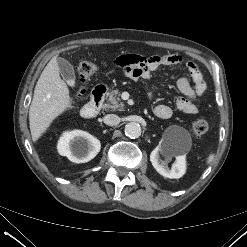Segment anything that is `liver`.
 Masks as SVG:
<instances>
[{
  "label": "liver",
  "instance_id": "1",
  "mask_svg": "<svg viewBox=\"0 0 247 247\" xmlns=\"http://www.w3.org/2000/svg\"><path fill=\"white\" fill-rule=\"evenodd\" d=\"M57 58L53 57L41 73L34 89L29 109V127L36 142L53 120L73 103L66 83L61 79Z\"/></svg>",
  "mask_w": 247,
  "mask_h": 247
}]
</instances>
